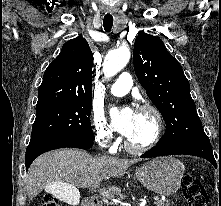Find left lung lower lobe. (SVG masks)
Listing matches in <instances>:
<instances>
[{"mask_svg": "<svg viewBox=\"0 0 221 206\" xmlns=\"http://www.w3.org/2000/svg\"><path fill=\"white\" fill-rule=\"evenodd\" d=\"M184 154L199 156L207 159L217 166L210 142H184V143H170V144H157L149 151L141 155V158H151L162 155ZM221 168V161L219 160V170Z\"/></svg>", "mask_w": 221, "mask_h": 206, "instance_id": "obj_1", "label": "left lung lower lobe"}]
</instances>
